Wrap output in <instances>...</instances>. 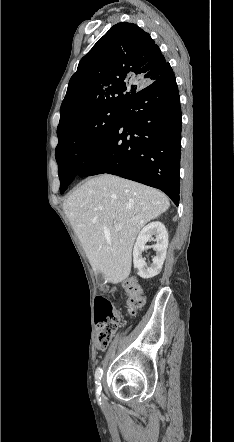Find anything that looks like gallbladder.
Masks as SVG:
<instances>
[{
	"label": "gallbladder",
	"mask_w": 234,
	"mask_h": 442,
	"mask_svg": "<svg viewBox=\"0 0 234 442\" xmlns=\"http://www.w3.org/2000/svg\"><path fill=\"white\" fill-rule=\"evenodd\" d=\"M103 278V274L102 273H97V280L101 281Z\"/></svg>",
	"instance_id": "obj_1"
}]
</instances>
